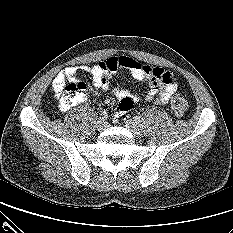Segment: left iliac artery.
Listing matches in <instances>:
<instances>
[{
  "mask_svg": "<svg viewBox=\"0 0 233 233\" xmlns=\"http://www.w3.org/2000/svg\"><path fill=\"white\" fill-rule=\"evenodd\" d=\"M134 121L137 122V123H139V122H141V119H140V117L135 116V117H134Z\"/></svg>",
  "mask_w": 233,
  "mask_h": 233,
  "instance_id": "1",
  "label": "left iliac artery"
}]
</instances>
